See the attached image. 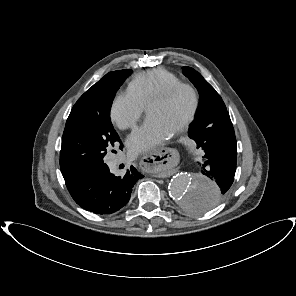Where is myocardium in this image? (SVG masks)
Listing matches in <instances>:
<instances>
[{
  "instance_id": "myocardium-1",
  "label": "myocardium",
  "mask_w": 296,
  "mask_h": 296,
  "mask_svg": "<svg viewBox=\"0 0 296 296\" xmlns=\"http://www.w3.org/2000/svg\"><path fill=\"white\" fill-rule=\"evenodd\" d=\"M182 90H185L190 94L191 100H192V105H191L190 112H189L188 116L186 117V119L173 131L174 134H179V133L185 131L193 123V121L197 115L198 108H199V96H198L196 89L191 84L184 83V82H179L177 84H174L171 87L164 90L163 92H161L160 94H158V95L154 96L152 99H150L149 102L147 103V105L145 106L146 112H148V109L151 106L169 101L177 93H179Z\"/></svg>"
}]
</instances>
